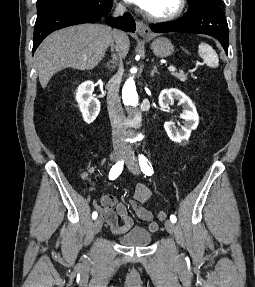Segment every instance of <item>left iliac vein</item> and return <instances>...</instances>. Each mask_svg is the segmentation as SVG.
I'll list each match as a JSON object with an SVG mask.
<instances>
[{"instance_id":"obj_1","label":"left iliac vein","mask_w":255,"mask_h":287,"mask_svg":"<svg viewBox=\"0 0 255 287\" xmlns=\"http://www.w3.org/2000/svg\"><path fill=\"white\" fill-rule=\"evenodd\" d=\"M126 153L130 156L127 158V167L133 174H139L140 173V167L137 162V160L134 158L132 154V150L130 148H126ZM165 228L168 233L173 234L175 232V226L174 223L170 220L165 221Z\"/></svg>"}]
</instances>
